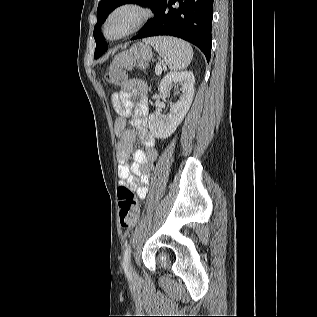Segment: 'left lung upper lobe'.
<instances>
[{"instance_id":"left-lung-upper-lobe-1","label":"left lung upper lobe","mask_w":317,"mask_h":317,"mask_svg":"<svg viewBox=\"0 0 317 317\" xmlns=\"http://www.w3.org/2000/svg\"><path fill=\"white\" fill-rule=\"evenodd\" d=\"M162 0H101L98 4L97 9V24L95 25L94 29V38L96 41V50L94 54V58L100 57L105 50L107 49V44L105 43L103 36L100 32V26L104 23L105 19L107 18L108 14L114 10L116 7L126 4V3H136L145 7H149L154 11L156 14L160 3ZM151 21V20H150ZM150 21H148L143 30L149 25Z\"/></svg>"}]
</instances>
